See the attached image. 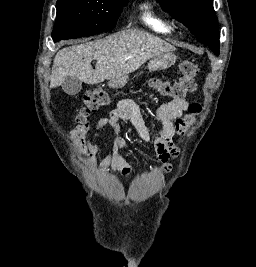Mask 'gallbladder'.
Masks as SVG:
<instances>
[{"label": "gallbladder", "mask_w": 256, "mask_h": 267, "mask_svg": "<svg viewBox=\"0 0 256 267\" xmlns=\"http://www.w3.org/2000/svg\"><path fill=\"white\" fill-rule=\"evenodd\" d=\"M62 88L68 96H77L82 90V82L79 78H75V76H67L62 84Z\"/></svg>", "instance_id": "gallbladder-1"}]
</instances>
